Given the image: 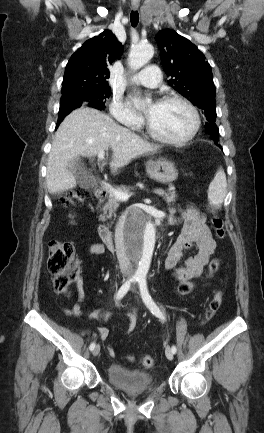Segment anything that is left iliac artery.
I'll use <instances>...</instances> for the list:
<instances>
[{"mask_svg": "<svg viewBox=\"0 0 264 433\" xmlns=\"http://www.w3.org/2000/svg\"><path fill=\"white\" fill-rule=\"evenodd\" d=\"M138 284H139L140 292L142 295V299H143L144 303L146 304V306L149 308V310L156 317L160 318L162 321H165L166 318H165L164 314L161 312V310L156 305V303L154 302V300L152 299V297L150 296V294L148 292L146 278H144V277L139 278ZM171 350L175 354L177 352L176 346H172Z\"/></svg>", "mask_w": 264, "mask_h": 433, "instance_id": "left-iliac-artery-1", "label": "left iliac artery"}]
</instances>
